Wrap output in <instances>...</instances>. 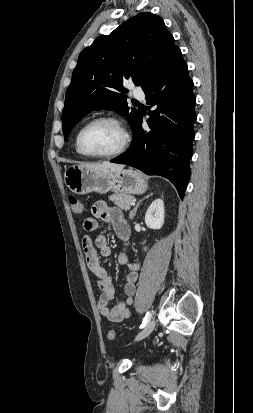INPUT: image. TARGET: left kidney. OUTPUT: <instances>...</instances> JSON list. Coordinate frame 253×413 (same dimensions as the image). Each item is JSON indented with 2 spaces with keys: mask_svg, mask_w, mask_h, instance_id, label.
<instances>
[{
  "mask_svg": "<svg viewBox=\"0 0 253 413\" xmlns=\"http://www.w3.org/2000/svg\"><path fill=\"white\" fill-rule=\"evenodd\" d=\"M164 215L165 210L163 200L156 199L146 211L145 223L151 229H160L164 224Z\"/></svg>",
  "mask_w": 253,
  "mask_h": 413,
  "instance_id": "5707ae66",
  "label": "left kidney"
}]
</instances>
